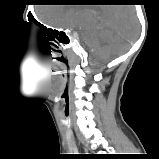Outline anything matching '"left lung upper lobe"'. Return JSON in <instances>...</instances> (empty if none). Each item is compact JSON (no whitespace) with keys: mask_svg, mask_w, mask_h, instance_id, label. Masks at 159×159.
<instances>
[{"mask_svg":"<svg viewBox=\"0 0 159 159\" xmlns=\"http://www.w3.org/2000/svg\"><path fill=\"white\" fill-rule=\"evenodd\" d=\"M91 159H97V158H100V157H98V156H94V157H90Z\"/></svg>","mask_w":159,"mask_h":159,"instance_id":"obj_1","label":"left lung upper lobe"}]
</instances>
